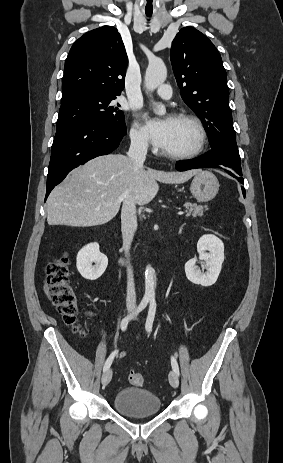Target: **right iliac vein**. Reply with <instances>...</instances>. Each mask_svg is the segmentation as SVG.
<instances>
[{"label": "right iliac vein", "mask_w": 283, "mask_h": 463, "mask_svg": "<svg viewBox=\"0 0 283 463\" xmlns=\"http://www.w3.org/2000/svg\"><path fill=\"white\" fill-rule=\"evenodd\" d=\"M112 379V370L111 369H108L104 372L103 376H102V385L103 386H106L110 383Z\"/></svg>", "instance_id": "1"}]
</instances>
